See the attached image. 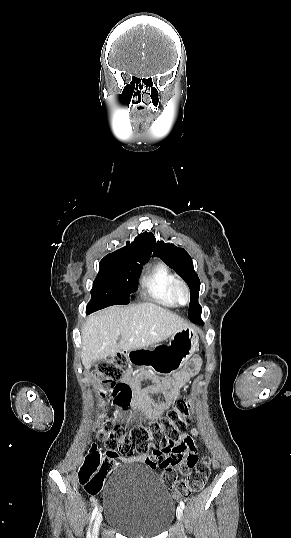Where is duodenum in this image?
<instances>
[{
    "instance_id": "410a0bca",
    "label": "duodenum",
    "mask_w": 291,
    "mask_h": 538,
    "mask_svg": "<svg viewBox=\"0 0 291 538\" xmlns=\"http://www.w3.org/2000/svg\"><path fill=\"white\" fill-rule=\"evenodd\" d=\"M142 355L140 350H134L130 352V356L140 357Z\"/></svg>"
}]
</instances>
